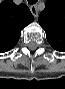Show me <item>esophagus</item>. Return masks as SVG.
<instances>
[{"label": "esophagus", "mask_w": 65, "mask_h": 89, "mask_svg": "<svg viewBox=\"0 0 65 89\" xmlns=\"http://www.w3.org/2000/svg\"><path fill=\"white\" fill-rule=\"evenodd\" d=\"M30 11H31V13L33 14L34 17L38 16V10H37V6L36 5H32L30 7Z\"/></svg>", "instance_id": "obj_1"}]
</instances>
